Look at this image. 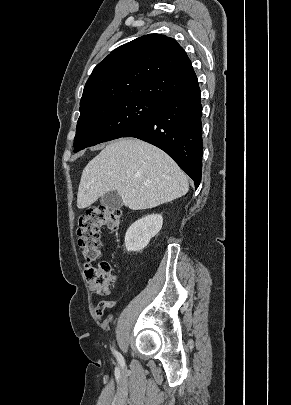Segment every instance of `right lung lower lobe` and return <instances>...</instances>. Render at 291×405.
Wrapping results in <instances>:
<instances>
[{"label":"right lung lower lobe","instance_id":"98d812e1","mask_svg":"<svg viewBox=\"0 0 291 405\" xmlns=\"http://www.w3.org/2000/svg\"><path fill=\"white\" fill-rule=\"evenodd\" d=\"M201 91L198 82L167 95L151 117L123 137H135L172 157L199 186L202 176Z\"/></svg>","mask_w":291,"mask_h":405}]
</instances>
